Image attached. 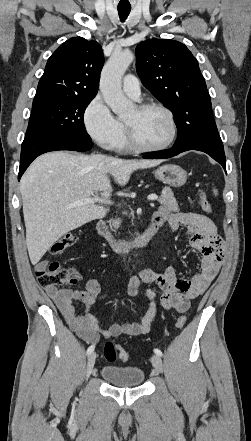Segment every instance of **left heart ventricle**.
Instances as JSON below:
<instances>
[{"label":"left heart ventricle","mask_w":251,"mask_h":441,"mask_svg":"<svg viewBox=\"0 0 251 441\" xmlns=\"http://www.w3.org/2000/svg\"><path fill=\"white\" fill-rule=\"evenodd\" d=\"M134 130L138 139L148 146L164 144L171 134L167 115L159 109L138 111L134 107L124 118Z\"/></svg>","instance_id":"1"}]
</instances>
